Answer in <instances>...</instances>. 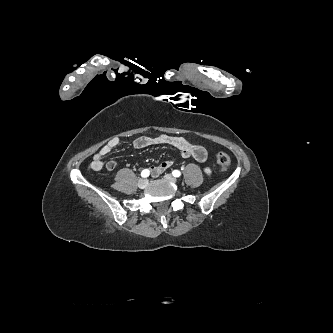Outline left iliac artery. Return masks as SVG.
I'll return each mask as SVG.
<instances>
[{
	"instance_id": "44dca946",
	"label": "left iliac artery",
	"mask_w": 333,
	"mask_h": 333,
	"mask_svg": "<svg viewBox=\"0 0 333 333\" xmlns=\"http://www.w3.org/2000/svg\"><path fill=\"white\" fill-rule=\"evenodd\" d=\"M172 174L174 177H179L181 175V172L179 170H174Z\"/></svg>"
}]
</instances>
